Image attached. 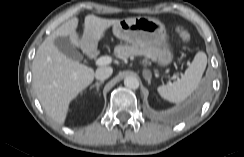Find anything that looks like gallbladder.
I'll return each mask as SVG.
<instances>
[{
    "instance_id": "gallbladder-1",
    "label": "gallbladder",
    "mask_w": 244,
    "mask_h": 157,
    "mask_svg": "<svg viewBox=\"0 0 244 157\" xmlns=\"http://www.w3.org/2000/svg\"><path fill=\"white\" fill-rule=\"evenodd\" d=\"M56 47L69 59L81 61L82 55L75 49L68 38L57 37L54 41Z\"/></svg>"
}]
</instances>
